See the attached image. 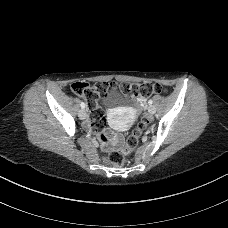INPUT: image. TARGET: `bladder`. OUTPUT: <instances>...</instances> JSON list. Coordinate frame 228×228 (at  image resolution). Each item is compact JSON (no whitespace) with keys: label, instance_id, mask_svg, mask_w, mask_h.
I'll list each match as a JSON object with an SVG mask.
<instances>
[{"label":"bladder","instance_id":"31cf9c89","mask_svg":"<svg viewBox=\"0 0 228 228\" xmlns=\"http://www.w3.org/2000/svg\"><path fill=\"white\" fill-rule=\"evenodd\" d=\"M102 99L106 105L110 106L129 102V97L123 95L116 89L110 90L106 95L102 97Z\"/></svg>","mask_w":228,"mask_h":228}]
</instances>
